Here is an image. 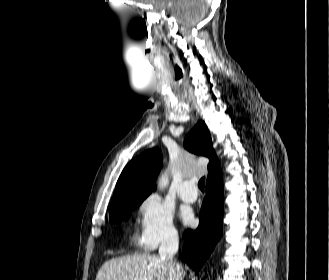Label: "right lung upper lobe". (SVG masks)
Listing matches in <instances>:
<instances>
[{"label":"right lung upper lobe","instance_id":"obj_1","mask_svg":"<svg viewBox=\"0 0 329 280\" xmlns=\"http://www.w3.org/2000/svg\"><path fill=\"white\" fill-rule=\"evenodd\" d=\"M185 148L210 159L207 180L221 170L220 163L214 155L210 132L203 121H199L186 136ZM161 167L162 156L158 148L147 150L132 159L117 181L110 210L123 201L145 199L154 190Z\"/></svg>","mask_w":329,"mask_h":280}]
</instances>
